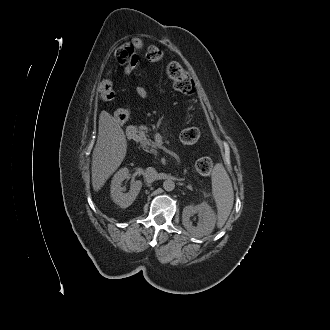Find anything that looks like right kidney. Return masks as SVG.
I'll return each instance as SVG.
<instances>
[{"label":"right kidney","instance_id":"obj_1","mask_svg":"<svg viewBox=\"0 0 330 330\" xmlns=\"http://www.w3.org/2000/svg\"><path fill=\"white\" fill-rule=\"evenodd\" d=\"M129 176L130 174L128 168L124 167L115 173L111 181V197L114 203L119 205L121 208L129 207L136 199L142 187V182L140 180H136L131 182L129 192L124 193L121 185L125 179L129 178Z\"/></svg>","mask_w":330,"mask_h":330}]
</instances>
